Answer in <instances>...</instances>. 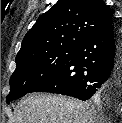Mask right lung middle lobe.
I'll return each instance as SVG.
<instances>
[{
	"label": "right lung middle lobe",
	"mask_w": 122,
	"mask_h": 123,
	"mask_svg": "<svg viewBox=\"0 0 122 123\" xmlns=\"http://www.w3.org/2000/svg\"><path fill=\"white\" fill-rule=\"evenodd\" d=\"M75 51L76 49L55 50L16 61V69L10 78L11 90L6 98V103L9 104L29 93L69 62Z\"/></svg>",
	"instance_id": "obj_1"
}]
</instances>
